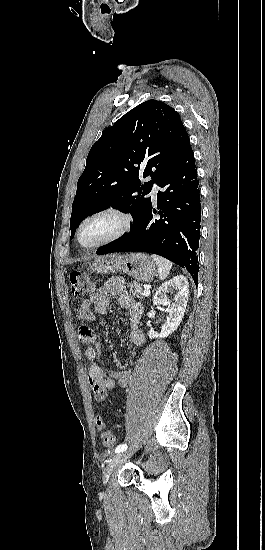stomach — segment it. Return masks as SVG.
Listing matches in <instances>:
<instances>
[{"mask_svg": "<svg viewBox=\"0 0 265 550\" xmlns=\"http://www.w3.org/2000/svg\"><path fill=\"white\" fill-rule=\"evenodd\" d=\"M89 268L99 274L123 272L142 282L152 281L156 273L153 260L143 253L112 254L95 257Z\"/></svg>", "mask_w": 265, "mask_h": 550, "instance_id": "1", "label": "stomach"}]
</instances>
